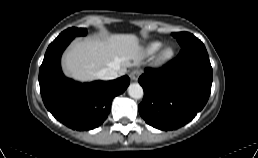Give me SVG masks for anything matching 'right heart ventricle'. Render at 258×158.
<instances>
[{
  "label": "right heart ventricle",
  "instance_id": "1",
  "mask_svg": "<svg viewBox=\"0 0 258 158\" xmlns=\"http://www.w3.org/2000/svg\"><path fill=\"white\" fill-rule=\"evenodd\" d=\"M161 47V43L158 41L152 42L148 47V53L152 54Z\"/></svg>",
  "mask_w": 258,
  "mask_h": 158
}]
</instances>
